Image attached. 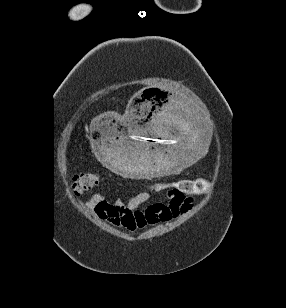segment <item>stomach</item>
Returning a JSON list of instances; mask_svg holds the SVG:
<instances>
[{"mask_svg":"<svg viewBox=\"0 0 286 308\" xmlns=\"http://www.w3.org/2000/svg\"><path fill=\"white\" fill-rule=\"evenodd\" d=\"M147 86L137 92L127 107V118L119 113H96L89 122L88 149L107 171L126 174L132 182L147 177H176L196 168L206 159L212 126L195 100L179 91H158Z\"/></svg>","mask_w":286,"mask_h":308,"instance_id":"1","label":"stomach"}]
</instances>
